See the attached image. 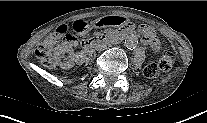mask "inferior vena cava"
<instances>
[{"instance_id":"inferior-vena-cava-1","label":"inferior vena cava","mask_w":207,"mask_h":123,"mask_svg":"<svg viewBox=\"0 0 207 123\" xmlns=\"http://www.w3.org/2000/svg\"><path fill=\"white\" fill-rule=\"evenodd\" d=\"M107 48V46L105 44H102L98 49L99 50H105Z\"/></svg>"}]
</instances>
